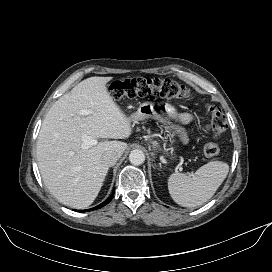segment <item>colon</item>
<instances>
[{
	"label": "colon",
	"mask_w": 272,
	"mask_h": 272,
	"mask_svg": "<svg viewBox=\"0 0 272 272\" xmlns=\"http://www.w3.org/2000/svg\"><path fill=\"white\" fill-rule=\"evenodd\" d=\"M109 92L115 99L143 98L150 95H158L171 99H182L190 96L189 89L181 83L170 79L158 78H128L113 81L109 86ZM212 121L214 135L219 136L227 128V119L223 111L214 105L207 107ZM220 147L215 142H210L204 147V154L208 158L216 157Z\"/></svg>",
	"instance_id": "obj_1"
}]
</instances>
